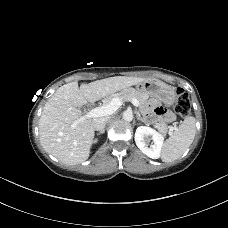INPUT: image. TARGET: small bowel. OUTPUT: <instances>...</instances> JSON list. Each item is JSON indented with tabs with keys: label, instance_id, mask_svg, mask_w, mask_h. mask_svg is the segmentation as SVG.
<instances>
[{
	"label": "small bowel",
	"instance_id": "c3829d8e",
	"mask_svg": "<svg viewBox=\"0 0 228 228\" xmlns=\"http://www.w3.org/2000/svg\"><path fill=\"white\" fill-rule=\"evenodd\" d=\"M151 116L166 119L167 113L163 108L155 106L151 112Z\"/></svg>",
	"mask_w": 228,
	"mask_h": 228
}]
</instances>
